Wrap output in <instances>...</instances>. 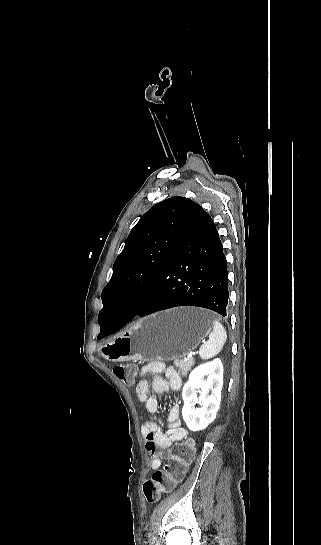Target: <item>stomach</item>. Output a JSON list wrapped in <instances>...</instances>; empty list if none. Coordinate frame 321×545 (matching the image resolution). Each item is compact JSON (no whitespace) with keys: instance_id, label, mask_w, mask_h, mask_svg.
Masks as SVG:
<instances>
[{"instance_id":"obj_1","label":"stomach","mask_w":321,"mask_h":545,"mask_svg":"<svg viewBox=\"0 0 321 545\" xmlns=\"http://www.w3.org/2000/svg\"><path fill=\"white\" fill-rule=\"evenodd\" d=\"M212 329V313L199 307H176L143 317L108 343L107 359L152 361L180 359L194 351Z\"/></svg>"}]
</instances>
